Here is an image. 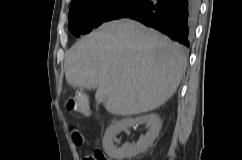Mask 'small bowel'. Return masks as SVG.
<instances>
[{
	"label": "small bowel",
	"instance_id": "1",
	"mask_svg": "<svg viewBox=\"0 0 242 160\" xmlns=\"http://www.w3.org/2000/svg\"><path fill=\"white\" fill-rule=\"evenodd\" d=\"M87 157H88V156L84 157L82 160H87Z\"/></svg>",
	"mask_w": 242,
	"mask_h": 160
}]
</instances>
